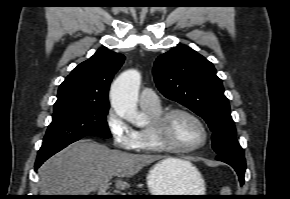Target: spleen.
Returning <instances> with one entry per match:
<instances>
[{
  "label": "spleen",
  "instance_id": "3e777b00",
  "mask_svg": "<svg viewBox=\"0 0 290 199\" xmlns=\"http://www.w3.org/2000/svg\"><path fill=\"white\" fill-rule=\"evenodd\" d=\"M222 195H231V190L229 188H223L221 190Z\"/></svg>",
  "mask_w": 290,
  "mask_h": 199
}]
</instances>
